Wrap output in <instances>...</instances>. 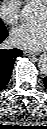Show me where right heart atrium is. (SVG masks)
<instances>
[{"label":"right heart atrium","mask_w":47,"mask_h":129,"mask_svg":"<svg viewBox=\"0 0 47 129\" xmlns=\"http://www.w3.org/2000/svg\"><path fill=\"white\" fill-rule=\"evenodd\" d=\"M21 17V0H2L0 18L8 25H15Z\"/></svg>","instance_id":"1"}]
</instances>
